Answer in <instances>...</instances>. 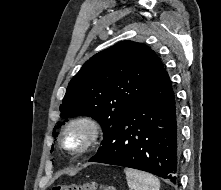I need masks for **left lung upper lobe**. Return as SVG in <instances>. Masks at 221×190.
I'll return each instance as SVG.
<instances>
[{
  "label": "left lung upper lobe",
  "instance_id": "1",
  "mask_svg": "<svg viewBox=\"0 0 221 190\" xmlns=\"http://www.w3.org/2000/svg\"><path fill=\"white\" fill-rule=\"evenodd\" d=\"M164 70L147 45L117 43L90 58L71 79L60 105V117L90 116L100 123L105 138Z\"/></svg>",
  "mask_w": 221,
  "mask_h": 190
}]
</instances>
